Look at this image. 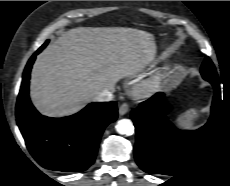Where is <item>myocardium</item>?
Returning a JSON list of instances; mask_svg holds the SVG:
<instances>
[{
  "instance_id": "f54148a6",
  "label": "myocardium",
  "mask_w": 230,
  "mask_h": 186,
  "mask_svg": "<svg viewBox=\"0 0 230 186\" xmlns=\"http://www.w3.org/2000/svg\"><path fill=\"white\" fill-rule=\"evenodd\" d=\"M169 71H165L158 76L143 80L135 87V95L139 98L149 97L159 91L163 81L168 77Z\"/></svg>"
}]
</instances>
